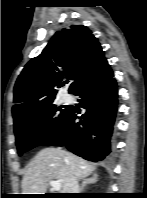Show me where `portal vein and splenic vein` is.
<instances>
[{"instance_id":"obj_1","label":"portal vein and splenic vein","mask_w":147,"mask_h":198,"mask_svg":"<svg viewBox=\"0 0 147 198\" xmlns=\"http://www.w3.org/2000/svg\"><path fill=\"white\" fill-rule=\"evenodd\" d=\"M50 185L52 186V189L54 191H60L61 190V183L58 180H51L49 181Z\"/></svg>"}]
</instances>
